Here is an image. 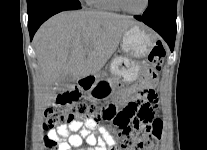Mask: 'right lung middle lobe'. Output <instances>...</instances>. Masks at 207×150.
<instances>
[{"label": "right lung middle lobe", "mask_w": 207, "mask_h": 150, "mask_svg": "<svg viewBox=\"0 0 207 150\" xmlns=\"http://www.w3.org/2000/svg\"><path fill=\"white\" fill-rule=\"evenodd\" d=\"M49 1H52V0H27L28 11L38 8L44 3L49 2ZM63 1L71 2V3L81 6V3L78 0H63Z\"/></svg>", "instance_id": "right-lung-middle-lobe-1"}]
</instances>
